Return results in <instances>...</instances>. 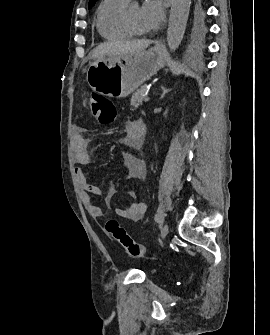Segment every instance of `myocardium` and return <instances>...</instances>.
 Listing matches in <instances>:
<instances>
[{
	"instance_id": "myocardium-1",
	"label": "myocardium",
	"mask_w": 270,
	"mask_h": 335,
	"mask_svg": "<svg viewBox=\"0 0 270 335\" xmlns=\"http://www.w3.org/2000/svg\"><path fill=\"white\" fill-rule=\"evenodd\" d=\"M122 23L124 25V27L128 30V32L132 35H139V32H136L131 25L128 22L127 16L125 14V12L122 14Z\"/></svg>"
}]
</instances>
